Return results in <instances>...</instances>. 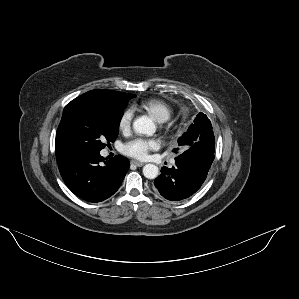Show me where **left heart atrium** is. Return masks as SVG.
<instances>
[{
  "label": "left heart atrium",
  "mask_w": 299,
  "mask_h": 299,
  "mask_svg": "<svg viewBox=\"0 0 299 299\" xmlns=\"http://www.w3.org/2000/svg\"><path fill=\"white\" fill-rule=\"evenodd\" d=\"M157 147L158 142L156 140L137 138L126 143L123 146L122 151L130 157L143 159L147 156L150 150H154Z\"/></svg>",
  "instance_id": "1"
}]
</instances>
